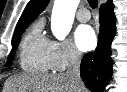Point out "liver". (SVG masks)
Returning <instances> with one entry per match:
<instances>
[{
  "instance_id": "liver-1",
  "label": "liver",
  "mask_w": 127,
  "mask_h": 92,
  "mask_svg": "<svg viewBox=\"0 0 127 92\" xmlns=\"http://www.w3.org/2000/svg\"><path fill=\"white\" fill-rule=\"evenodd\" d=\"M4 92H88L81 82L75 86L65 74L17 75L10 77Z\"/></svg>"
}]
</instances>
